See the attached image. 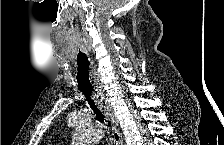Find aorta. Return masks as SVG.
<instances>
[{
	"instance_id": "aorta-1",
	"label": "aorta",
	"mask_w": 224,
	"mask_h": 145,
	"mask_svg": "<svg viewBox=\"0 0 224 145\" xmlns=\"http://www.w3.org/2000/svg\"><path fill=\"white\" fill-rule=\"evenodd\" d=\"M103 131L99 127L79 126L73 137L74 145H93L103 138Z\"/></svg>"
}]
</instances>
